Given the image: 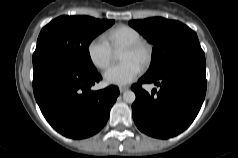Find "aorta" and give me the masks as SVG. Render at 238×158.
<instances>
[{
  "label": "aorta",
  "instance_id": "obj_1",
  "mask_svg": "<svg viewBox=\"0 0 238 158\" xmlns=\"http://www.w3.org/2000/svg\"><path fill=\"white\" fill-rule=\"evenodd\" d=\"M136 99V95L133 91L127 90L123 93V100L127 103H133Z\"/></svg>",
  "mask_w": 238,
  "mask_h": 158
}]
</instances>
